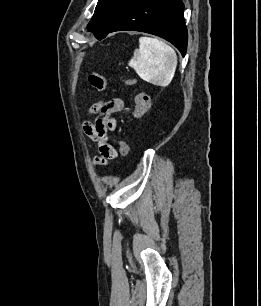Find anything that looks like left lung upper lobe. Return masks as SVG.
Listing matches in <instances>:
<instances>
[{"label":"left lung upper lobe","instance_id":"5c2ea615","mask_svg":"<svg viewBox=\"0 0 261 306\" xmlns=\"http://www.w3.org/2000/svg\"><path fill=\"white\" fill-rule=\"evenodd\" d=\"M133 0H98L93 18L87 29L96 38L108 33L121 18Z\"/></svg>","mask_w":261,"mask_h":306}]
</instances>
